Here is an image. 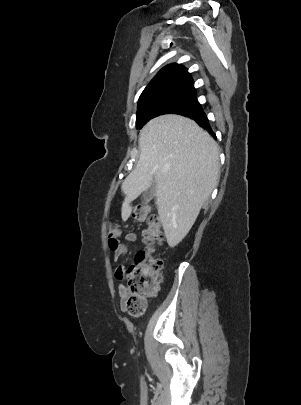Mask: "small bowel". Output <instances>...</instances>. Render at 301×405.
Instances as JSON below:
<instances>
[{"instance_id": "1", "label": "small bowel", "mask_w": 301, "mask_h": 405, "mask_svg": "<svg viewBox=\"0 0 301 405\" xmlns=\"http://www.w3.org/2000/svg\"><path fill=\"white\" fill-rule=\"evenodd\" d=\"M126 241L129 242H136L137 241V235L135 233H127L124 236ZM114 253V260H118L122 255L126 254L128 251L127 246L124 243H121L119 240L117 242L116 247L112 250ZM127 274V269L125 266L120 265L117 267L116 271H115V276L117 279L122 280L125 278ZM118 294L120 296L121 299V304L122 301L126 295V288L124 286H120L118 288Z\"/></svg>"}]
</instances>
